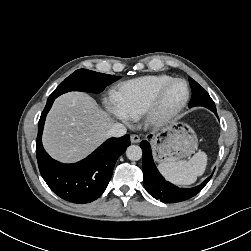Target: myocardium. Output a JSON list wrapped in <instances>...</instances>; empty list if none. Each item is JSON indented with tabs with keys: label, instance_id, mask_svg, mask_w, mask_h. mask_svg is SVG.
I'll use <instances>...</instances> for the list:
<instances>
[{
	"label": "myocardium",
	"instance_id": "1",
	"mask_svg": "<svg viewBox=\"0 0 251 251\" xmlns=\"http://www.w3.org/2000/svg\"><path fill=\"white\" fill-rule=\"evenodd\" d=\"M175 83H182L185 86V96L183 100L173 108L166 109L163 106L164 96L167 90ZM190 98V88L188 83L182 78H173L167 83H165L160 89L156 92L151 104L146 110L145 118L146 123L153 127L159 128L175 119L178 114L185 108Z\"/></svg>",
	"mask_w": 251,
	"mask_h": 251
}]
</instances>
